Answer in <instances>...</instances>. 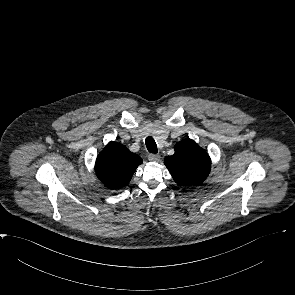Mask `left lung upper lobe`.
Masks as SVG:
<instances>
[{
    "label": "left lung upper lobe",
    "instance_id": "obj_1",
    "mask_svg": "<svg viewBox=\"0 0 295 295\" xmlns=\"http://www.w3.org/2000/svg\"><path fill=\"white\" fill-rule=\"evenodd\" d=\"M175 153L167 156L164 164L178 185L201 184L208 176L211 160L206 151L191 139L176 143Z\"/></svg>",
    "mask_w": 295,
    "mask_h": 295
}]
</instances>
